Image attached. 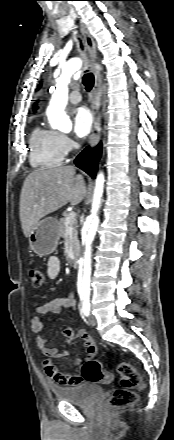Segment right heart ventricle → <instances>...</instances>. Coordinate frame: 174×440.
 I'll return each instance as SVG.
<instances>
[{
    "label": "right heart ventricle",
    "mask_w": 174,
    "mask_h": 440,
    "mask_svg": "<svg viewBox=\"0 0 174 440\" xmlns=\"http://www.w3.org/2000/svg\"><path fill=\"white\" fill-rule=\"evenodd\" d=\"M64 156L57 145L56 132L40 127L30 137V163L33 167H55L63 162Z\"/></svg>",
    "instance_id": "e07e8e85"
}]
</instances>
